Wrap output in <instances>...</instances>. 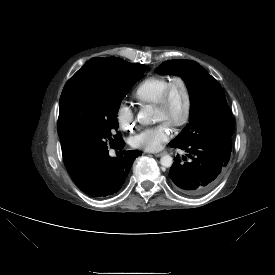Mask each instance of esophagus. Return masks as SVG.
<instances>
[{"mask_svg": "<svg viewBox=\"0 0 275 275\" xmlns=\"http://www.w3.org/2000/svg\"><path fill=\"white\" fill-rule=\"evenodd\" d=\"M164 153H165V152L155 153V156H156V157H160V156H162Z\"/></svg>", "mask_w": 275, "mask_h": 275, "instance_id": "esophagus-1", "label": "esophagus"}]
</instances>
